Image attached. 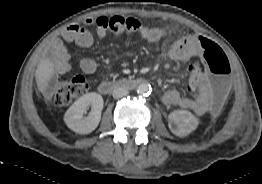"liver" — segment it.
Listing matches in <instances>:
<instances>
[{
  "label": "liver",
  "mask_w": 262,
  "mask_h": 184,
  "mask_svg": "<svg viewBox=\"0 0 262 184\" xmlns=\"http://www.w3.org/2000/svg\"><path fill=\"white\" fill-rule=\"evenodd\" d=\"M55 75V67L49 59H43L37 66L35 78L38 90L47 95L49 83Z\"/></svg>",
  "instance_id": "liver-1"
}]
</instances>
